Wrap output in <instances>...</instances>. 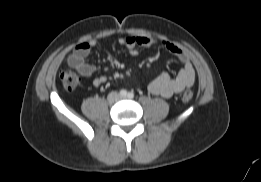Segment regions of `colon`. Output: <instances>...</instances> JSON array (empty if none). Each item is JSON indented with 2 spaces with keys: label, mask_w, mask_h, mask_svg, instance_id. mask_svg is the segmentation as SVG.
Instances as JSON below:
<instances>
[{
  "label": "colon",
  "mask_w": 261,
  "mask_h": 182,
  "mask_svg": "<svg viewBox=\"0 0 261 182\" xmlns=\"http://www.w3.org/2000/svg\"><path fill=\"white\" fill-rule=\"evenodd\" d=\"M60 79L64 88L68 91L75 90L80 83V77L78 76V74L68 68H64L61 70ZM192 97L193 93L191 90H186L183 93V100L186 102L190 101Z\"/></svg>",
  "instance_id": "obj_1"
}]
</instances>
